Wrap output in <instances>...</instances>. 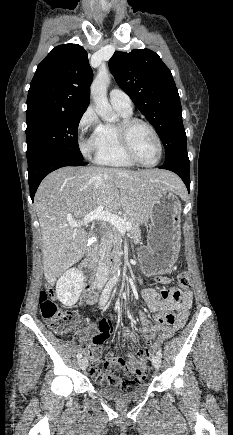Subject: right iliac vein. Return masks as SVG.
Segmentation results:
<instances>
[{"label": "right iliac vein", "mask_w": 233, "mask_h": 435, "mask_svg": "<svg viewBox=\"0 0 233 435\" xmlns=\"http://www.w3.org/2000/svg\"><path fill=\"white\" fill-rule=\"evenodd\" d=\"M79 365L81 367L82 370H85L88 366V360L86 357H83L79 360Z\"/></svg>", "instance_id": "right-iliac-vein-1"}]
</instances>
